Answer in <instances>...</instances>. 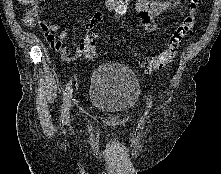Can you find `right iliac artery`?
Returning <instances> with one entry per match:
<instances>
[{"mask_svg": "<svg viewBox=\"0 0 221 174\" xmlns=\"http://www.w3.org/2000/svg\"><path fill=\"white\" fill-rule=\"evenodd\" d=\"M71 100H72V80L70 79L68 84L66 85L63 97L62 114H61V121L63 124H67L69 120V110L71 106Z\"/></svg>", "mask_w": 221, "mask_h": 174, "instance_id": "82829eb1", "label": "right iliac artery"}]
</instances>
